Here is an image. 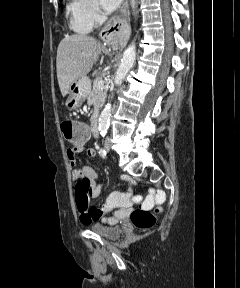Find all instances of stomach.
I'll return each mask as SVG.
<instances>
[{
  "mask_svg": "<svg viewBox=\"0 0 240 288\" xmlns=\"http://www.w3.org/2000/svg\"><path fill=\"white\" fill-rule=\"evenodd\" d=\"M91 91V82L89 78L82 77L72 83L69 89V96L66 101V107L71 110L78 109L83 101L88 97Z\"/></svg>",
  "mask_w": 240,
  "mask_h": 288,
  "instance_id": "1",
  "label": "stomach"
}]
</instances>
